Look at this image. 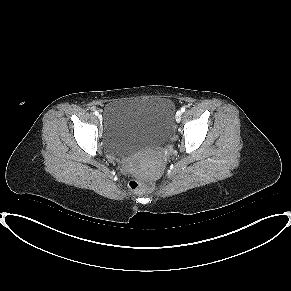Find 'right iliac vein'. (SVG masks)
I'll return each instance as SVG.
<instances>
[{"instance_id":"obj_1","label":"right iliac vein","mask_w":291,"mask_h":291,"mask_svg":"<svg viewBox=\"0 0 291 291\" xmlns=\"http://www.w3.org/2000/svg\"><path fill=\"white\" fill-rule=\"evenodd\" d=\"M98 118L101 120L102 119V115L101 114H98Z\"/></svg>"}]
</instances>
